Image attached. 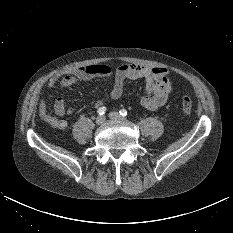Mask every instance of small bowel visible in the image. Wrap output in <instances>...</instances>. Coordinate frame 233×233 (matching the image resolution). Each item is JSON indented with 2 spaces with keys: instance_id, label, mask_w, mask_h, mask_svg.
I'll list each match as a JSON object with an SVG mask.
<instances>
[{
  "instance_id": "obj_1",
  "label": "small bowel",
  "mask_w": 233,
  "mask_h": 233,
  "mask_svg": "<svg viewBox=\"0 0 233 233\" xmlns=\"http://www.w3.org/2000/svg\"><path fill=\"white\" fill-rule=\"evenodd\" d=\"M94 78H108L112 80L113 86L110 90L112 99H118L122 96L126 80H144L146 95L139 97V101L145 109L150 111L162 107L173 92L172 81L167 69L136 64H122L116 68L106 64L76 67L55 74L48 84L50 87L66 89ZM104 105L105 101L103 99H98L95 102L96 108L104 107ZM72 112L73 109L66 108L63 97H58L55 100L53 113L49 111L44 98H41L39 101V116L41 120L53 128L65 129L68 126V122L62 117Z\"/></svg>"
}]
</instances>
